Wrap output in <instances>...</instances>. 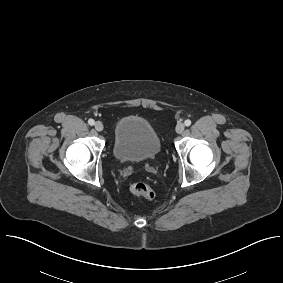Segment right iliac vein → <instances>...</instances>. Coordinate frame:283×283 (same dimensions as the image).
Listing matches in <instances>:
<instances>
[{"label":"right iliac vein","mask_w":283,"mask_h":283,"mask_svg":"<svg viewBox=\"0 0 283 283\" xmlns=\"http://www.w3.org/2000/svg\"><path fill=\"white\" fill-rule=\"evenodd\" d=\"M95 129L99 132H101L104 129L103 124L100 121H97L94 125Z\"/></svg>","instance_id":"1"}]
</instances>
